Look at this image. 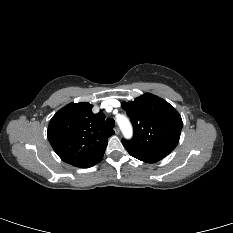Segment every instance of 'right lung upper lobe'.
I'll use <instances>...</instances> for the list:
<instances>
[{"instance_id": "cb5924a9", "label": "right lung upper lobe", "mask_w": 233, "mask_h": 233, "mask_svg": "<svg viewBox=\"0 0 233 233\" xmlns=\"http://www.w3.org/2000/svg\"><path fill=\"white\" fill-rule=\"evenodd\" d=\"M93 105L70 103L50 120L48 140L57 155L66 163L89 168L103 158L107 139L114 134L105 126L102 112L92 113Z\"/></svg>"}]
</instances>
